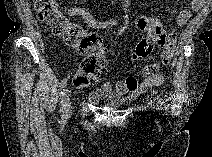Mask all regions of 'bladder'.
Instances as JSON below:
<instances>
[{"mask_svg":"<svg viewBox=\"0 0 212 157\" xmlns=\"http://www.w3.org/2000/svg\"><path fill=\"white\" fill-rule=\"evenodd\" d=\"M127 100L121 97H113L105 102H103V106L109 107V108H121L127 104Z\"/></svg>","mask_w":212,"mask_h":157,"instance_id":"31cf9c89","label":"bladder"}]
</instances>
